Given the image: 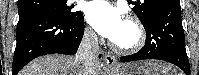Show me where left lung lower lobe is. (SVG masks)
<instances>
[{
  "label": "left lung lower lobe",
  "mask_w": 199,
  "mask_h": 75,
  "mask_svg": "<svg viewBox=\"0 0 199 75\" xmlns=\"http://www.w3.org/2000/svg\"><path fill=\"white\" fill-rule=\"evenodd\" d=\"M143 26L146 30L144 47L135 54L121 57L120 61L164 60L177 65L190 75L180 4L160 7Z\"/></svg>",
  "instance_id": "0a47b994"
}]
</instances>
